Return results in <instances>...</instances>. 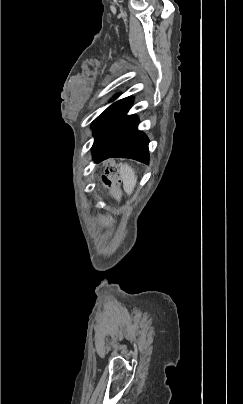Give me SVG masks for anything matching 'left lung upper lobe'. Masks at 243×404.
I'll list each match as a JSON object with an SVG mask.
<instances>
[{"instance_id":"obj_1","label":"left lung upper lobe","mask_w":243,"mask_h":404,"mask_svg":"<svg viewBox=\"0 0 243 404\" xmlns=\"http://www.w3.org/2000/svg\"><path fill=\"white\" fill-rule=\"evenodd\" d=\"M123 100V99H122ZM122 100H119V101H117L116 103H114V104H112L110 107H108L103 113H105L107 110H109L110 108H112L114 105H116V104H118L119 102H121ZM102 113V114H103ZM101 114V115H102ZM100 115V116H101ZM99 118V117H98ZM98 118H96L94 121H93V123H92V127L94 126V124L96 123V121L98 120Z\"/></svg>"}]
</instances>
